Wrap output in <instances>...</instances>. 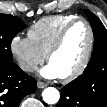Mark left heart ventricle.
<instances>
[{
	"label": "left heart ventricle",
	"instance_id": "obj_1",
	"mask_svg": "<svg viewBox=\"0 0 107 107\" xmlns=\"http://www.w3.org/2000/svg\"><path fill=\"white\" fill-rule=\"evenodd\" d=\"M89 41L87 27L83 23L74 25L68 32L62 47L51 57L60 77L75 71L83 60Z\"/></svg>",
	"mask_w": 107,
	"mask_h": 107
}]
</instances>
